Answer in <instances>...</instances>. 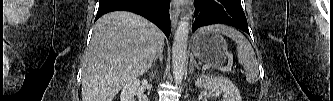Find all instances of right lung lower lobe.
Returning a JSON list of instances; mask_svg holds the SVG:
<instances>
[{
	"label": "right lung lower lobe",
	"instance_id": "obj_1",
	"mask_svg": "<svg viewBox=\"0 0 333 101\" xmlns=\"http://www.w3.org/2000/svg\"><path fill=\"white\" fill-rule=\"evenodd\" d=\"M169 7L170 0H100L95 21L108 12L130 11L147 18L169 37Z\"/></svg>",
	"mask_w": 333,
	"mask_h": 101
}]
</instances>
